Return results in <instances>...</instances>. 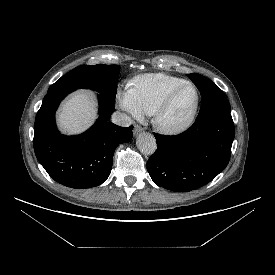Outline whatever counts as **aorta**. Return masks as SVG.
I'll return each mask as SVG.
<instances>
[{
	"mask_svg": "<svg viewBox=\"0 0 275 275\" xmlns=\"http://www.w3.org/2000/svg\"><path fill=\"white\" fill-rule=\"evenodd\" d=\"M138 149L146 155H151L156 151V139L150 133H141L136 140Z\"/></svg>",
	"mask_w": 275,
	"mask_h": 275,
	"instance_id": "aorta-1",
	"label": "aorta"
}]
</instances>
